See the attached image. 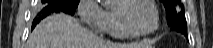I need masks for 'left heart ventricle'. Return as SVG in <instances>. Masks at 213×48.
Instances as JSON below:
<instances>
[{
  "label": "left heart ventricle",
  "mask_w": 213,
  "mask_h": 48,
  "mask_svg": "<svg viewBox=\"0 0 213 48\" xmlns=\"http://www.w3.org/2000/svg\"><path fill=\"white\" fill-rule=\"evenodd\" d=\"M121 11L128 23L139 32H146L154 27V12L146 2H133Z\"/></svg>",
  "instance_id": "left-heart-ventricle-1"
}]
</instances>
